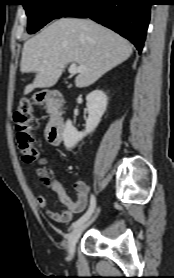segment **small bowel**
Segmentation results:
<instances>
[{
	"mask_svg": "<svg viewBox=\"0 0 174 278\" xmlns=\"http://www.w3.org/2000/svg\"><path fill=\"white\" fill-rule=\"evenodd\" d=\"M37 161L41 165L49 164V160L46 158H37ZM74 189L76 192L75 200L67 194L65 188L58 179L53 180L51 190L58 196L59 201L65 206V210L60 212L48 210L47 214L51 219L59 223H67L71 221L74 214L80 213L84 210L87 204L89 186L85 181L78 180L74 185ZM35 201L39 207L46 208L47 201L44 196L38 195Z\"/></svg>",
	"mask_w": 174,
	"mask_h": 278,
	"instance_id": "small-bowel-1",
	"label": "small bowel"
}]
</instances>
